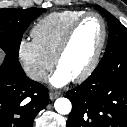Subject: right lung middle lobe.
Returning <instances> with one entry per match:
<instances>
[{
	"label": "right lung middle lobe",
	"instance_id": "dd1d6c3e",
	"mask_svg": "<svg viewBox=\"0 0 127 127\" xmlns=\"http://www.w3.org/2000/svg\"><path fill=\"white\" fill-rule=\"evenodd\" d=\"M43 8L0 9V49L17 60L24 31Z\"/></svg>",
	"mask_w": 127,
	"mask_h": 127
}]
</instances>
